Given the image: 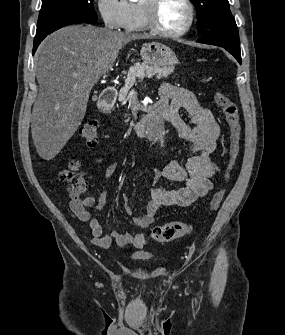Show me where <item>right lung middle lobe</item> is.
I'll return each mask as SVG.
<instances>
[{
  "label": "right lung middle lobe",
  "mask_w": 285,
  "mask_h": 335,
  "mask_svg": "<svg viewBox=\"0 0 285 335\" xmlns=\"http://www.w3.org/2000/svg\"><path fill=\"white\" fill-rule=\"evenodd\" d=\"M94 0H42V7L37 23V30L68 18L96 22L97 15Z\"/></svg>",
  "instance_id": "1"
}]
</instances>
